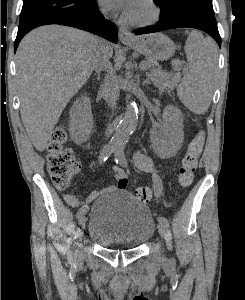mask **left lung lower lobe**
Returning a JSON list of instances; mask_svg holds the SVG:
<instances>
[{
    "mask_svg": "<svg viewBox=\"0 0 245 300\" xmlns=\"http://www.w3.org/2000/svg\"><path fill=\"white\" fill-rule=\"evenodd\" d=\"M183 27L195 28L208 33L221 47V37L214 13L195 7H176L165 17H160L155 26L138 28L134 33L141 35Z\"/></svg>",
    "mask_w": 245,
    "mask_h": 300,
    "instance_id": "left-lung-lower-lobe-1",
    "label": "left lung lower lobe"
}]
</instances>
